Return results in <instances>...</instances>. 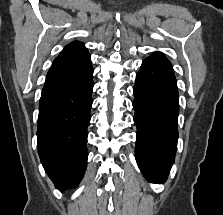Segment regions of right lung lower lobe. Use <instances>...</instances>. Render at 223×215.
<instances>
[{"instance_id":"obj_1","label":"right lung lower lobe","mask_w":223,"mask_h":215,"mask_svg":"<svg viewBox=\"0 0 223 215\" xmlns=\"http://www.w3.org/2000/svg\"><path fill=\"white\" fill-rule=\"evenodd\" d=\"M93 70L45 86L37 126L41 163L60 191L76 188L87 165V126L92 105Z\"/></svg>"}]
</instances>
